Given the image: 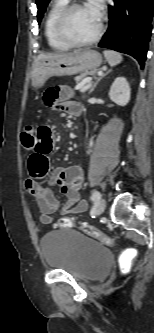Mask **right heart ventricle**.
Returning a JSON list of instances; mask_svg holds the SVG:
<instances>
[{"mask_svg":"<svg viewBox=\"0 0 154 333\" xmlns=\"http://www.w3.org/2000/svg\"><path fill=\"white\" fill-rule=\"evenodd\" d=\"M69 3V0H53L50 4L45 20H44V34L48 45L56 51H66L72 46L63 42L57 35L55 30L56 19L61 10Z\"/></svg>","mask_w":154,"mask_h":333,"instance_id":"e07e8e85","label":"right heart ventricle"}]
</instances>
